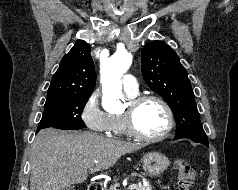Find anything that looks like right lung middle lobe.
I'll return each mask as SVG.
<instances>
[{
  "label": "right lung middle lobe",
  "instance_id": "1",
  "mask_svg": "<svg viewBox=\"0 0 238 190\" xmlns=\"http://www.w3.org/2000/svg\"><path fill=\"white\" fill-rule=\"evenodd\" d=\"M89 95H69L47 99L37 131L55 127L63 130L86 128L81 113Z\"/></svg>",
  "mask_w": 238,
  "mask_h": 190
}]
</instances>
